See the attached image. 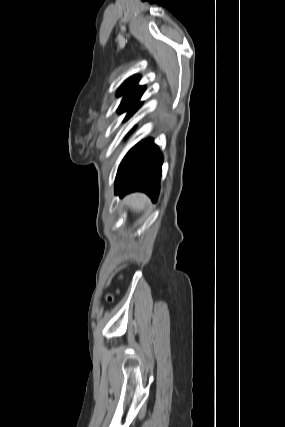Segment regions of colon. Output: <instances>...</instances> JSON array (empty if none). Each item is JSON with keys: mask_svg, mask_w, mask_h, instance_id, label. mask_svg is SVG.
<instances>
[{"mask_svg": "<svg viewBox=\"0 0 285 427\" xmlns=\"http://www.w3.org/2000/svg\"><path fill=\"white\" fill-rule=\"evenodd\" d=\"M114 293H110L108 296V300L111 301L113 299Z\"/></svg>", "mask_w": 285, "mask_h": 427, "instance_id": "obj_1", "label": "colon"}]
</instances>
